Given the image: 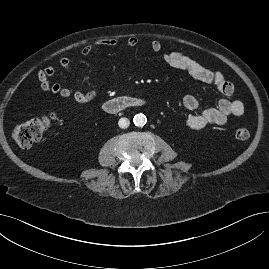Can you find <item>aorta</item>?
Instances as JSON below:
<instances>
[{"label":"aorta","mask_w":269,"mask_h":269,"mask_svg":"<svg viewBox=\"0 0 269 269\" xmlns=\"http://www.w3.org/2000/svg\"><path fill=\"white\" fill-rule=\"evenodd\" d=\"M133 122L136 126L142 127L146 124L147 118L144 114H137L134 116Z\"/></svg>","instance_id":"aorta-1"}]
</instances>
